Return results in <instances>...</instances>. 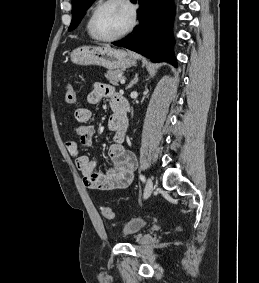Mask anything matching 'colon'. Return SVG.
Here are the masks:
<instances>
[{"instance_id":"colon-1","label":"colon","mask_w":259,"mask_h":283,"mask_svg":"<svg viewBox=\"0 0 259 283\" xmlns=\"http://www.w3.org/2000/svg\"><path fill=\"white\" fill-rule=\"evenodd\" d=\"M65 101L69 105H73L76 102V90L71 84H67L65 88ZM102 214L107 219L113 218V211L109 206L102 207Z\"/></svg>"}]
</instances>
